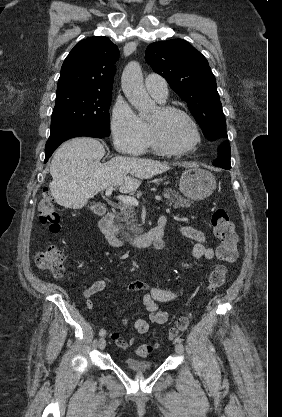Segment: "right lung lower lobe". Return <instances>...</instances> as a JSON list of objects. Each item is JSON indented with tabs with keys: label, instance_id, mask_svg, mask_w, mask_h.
Returning a JSON list of instances; mask_svg holds the SVG:
<instances>
[{
	"label": "right lung lower lobe",
	"instance_id": "obj_1",
	"mask_svg": "<svg viewBox=\"0 0 282 417\" xmlns=\"http://www.w3.org/2000/svg\"><path fill=\"white\" fill-rule=\"evenodd\" d=\"M79 136H88V137H95V138H103L106 137L105 134H102L98 131L89 129L87 127L75 125L66 127L54 132H51L50 137L45 146V162L50 158L54 150L65 140L79 137Z\"/></svg>",
	"mask_w": 282,
	"mask_h": 417
}]
</instances>
